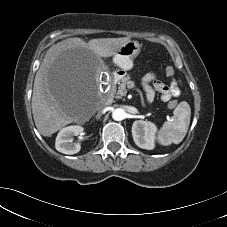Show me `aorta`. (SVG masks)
<instances>
[{"instance_id":"1","label":"aorta","mask_w":227,"mask_h":227,"mask_svg":"<svg viewBox=\"0 0 227 227\" xmlns=\"http://www.w3.org/2000/svg\"><path fill=\"white\" fill-rule=\"evenodd\" d=\"M125 111L122 108H116L112 112V118L116 121H121L125 118Z\"/></svg>"}]
</instances>
